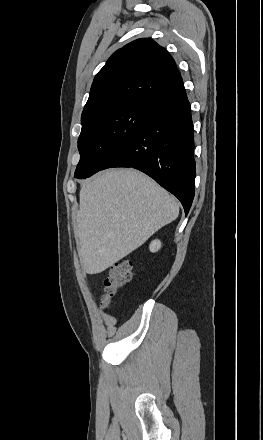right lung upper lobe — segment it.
Instances as JSON below:
<instances>
[{
	"mask_svg": "<svg viewBox=\"0 0 263 440\" xmlns=\"http://www.w3.org/2000/svg\"><path fill=\"white\" fill-rule=\"evenodd\" d=\"M183 86L174 59L151 39L117 50L95 76L81 121L128 103L153 104Z\"/></svg>",
	"mask_w": 263,
	"mask_h": 440,
	"instance_id": "1",
	"label": "right lung upper lobe"
}]
</instances>
